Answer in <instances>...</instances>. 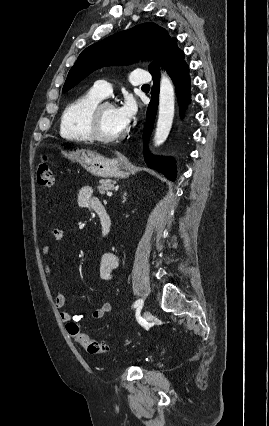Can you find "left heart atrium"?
Listing matches in <instances>:
<instances>
[{"instance_id": "1", "label": "left heart atrium", "mask_w": 269, "mask_h": 426, "mask_svg": "<svg viewBox=\"0 0 269 426\" xmlns=\"http://www.w3.org/2000/svg\"><path fill=\"white\" fill-rule=\"evenodd\" d=\"M117 117L122 127L126 128L134 119L136 114V106L134 103L127 101L122 106L116 108Z\"/></svg>"}]
</instances>
